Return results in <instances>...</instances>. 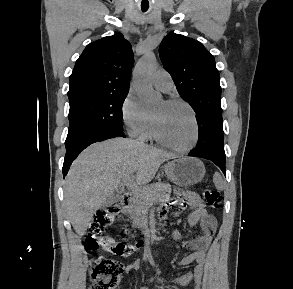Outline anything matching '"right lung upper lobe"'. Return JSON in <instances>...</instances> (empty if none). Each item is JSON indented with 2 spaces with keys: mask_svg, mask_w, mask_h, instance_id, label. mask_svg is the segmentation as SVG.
<instances>
[{
  "mask_svg": "<svg viewBox=\"0 0 293 289\" xmlns=\"http://www.w3.org/2000/svg\"><path fill=\"white\" fill-rule=\"evenodd\" d=\"M132 65V48L122 34L90 43L70 76L69 101L86 96L128 94Z\"/></svg>",
  "mask_w": 293,
  "mask_h": 289,
  "instance_id": "cb5924a9",
  "label": "right lung upper lobe"
}]
</instances>
